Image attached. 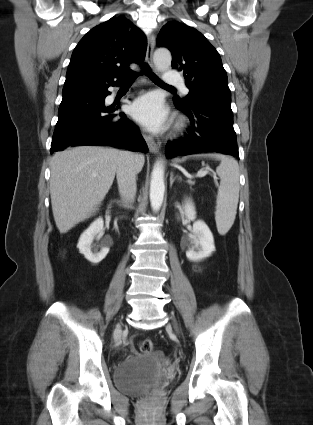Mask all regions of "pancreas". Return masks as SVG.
I'll return each instance as SVG.
<instances>
[{"label":"pancreas","instance_id":"1","mask_svg":"<svg viewBox=\"0 0 313 425\" xmlns=\"http://www.w3.org/2000/svg\"><path fill=\"white\" fill-rule=\"evenodd\" d=\"M187 183H188L189 185H194V184H195V182H194V181H191V180H188V181H187Z\"/></svg>","mask_w":313,"mask_h":425}]
</instances>
